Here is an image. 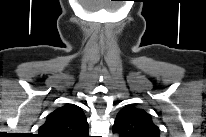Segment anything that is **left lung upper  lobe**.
Listing matches in <instances>:
<instances>
[{
	"mask_svg": "<svg viewBox=\"0 0 206 137\" xmlns=\"http://www.w3.org/2000/svg\"><path fill=\"white\" fill-rule=\"evenodd\" d=\"M113 131L121 137H159V128L151 115L143 109L128 105L121 109L114 122Z\"/></svg>",
	"mask_w": 206,
	"mask_h": 137,
	"instance_id": "left-lung-upper-lobe-1",
	"label": "left lung upper lobe"
}]
</instances>
